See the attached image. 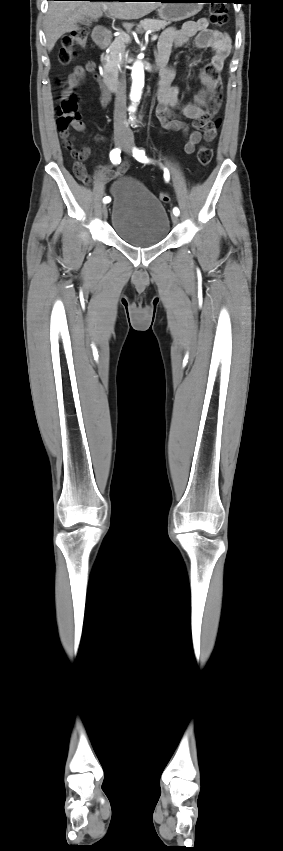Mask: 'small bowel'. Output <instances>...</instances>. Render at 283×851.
Returning a JSON list of instances; mask_svg holds the SVG:
<instances>
[{"label": "small bowel", "instance_id": "obj_1", "mask_svg": "<svg viewBox=\"0 0 283 851\" xmlns=\"http://www.w3.org/2000/svg\"><path fill=\"white\" fill-rule=\"evenodd\" d=\"M208 25L209 22L206 18L186 21L180 28L169 27L164 30L158 42L157 62L162 63L163 68L158 88L159 103L156 108V117L163 128L181 131L184 134L186 141L183 151L186 154H192L202 137L206 138L205 133L202 134L199 129L204 128L210 118L218 112L221 101L219 91L222 85L219 74L231 50L229 36L218 30L210 29ZM191 39H194L198 48H211L213 55L210 63L211 69L209 71L202 70L199 73L204 88L196 95L195 103L183 105L179 100V88L171 85L175 76V69L170 59L174 48L186 45ZM196 62L197 60L194 63ZM95 70L96 65L93 61H87L85 65L75 66L68 76L63 97L73 93L86 73H94ZM98 84L101 105L106 107L113 97V92L109 89L105 77H100ZM181 116L194 121L192 129L181 119ZM74 128L82 131L84 124L75 125ZM61 138L75 160L74 166L80 165L85 168L83 161L90 156L91 149L89 147H84L81 150L75 149L70 141L69 130L61 132ZM103 140V137L96 138V141ZM126 169L127 164H122L120 170L125 171ZM98 174L102 181H106L114 175V172L109 166H100Z\"/></svg>", "mask_w": 283, "mask_h": 851}]
</instances>
